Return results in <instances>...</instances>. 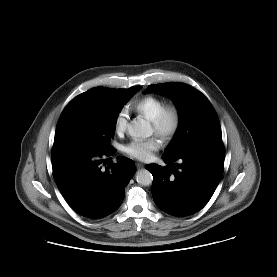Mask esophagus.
Here are the masks:
<instances>
[{"mask_svg": "<svg viewBox=\"0 0 277 277\" xmlns=\"http://www.w3.org/2000/svg\"><path fill=\"white\" fill-rule=\"evenodd\" d=\"M136 166H137V168H139V169H140V168H144V164H142V163H137Z\"/></svg>", "mask_w": 277, "mask_h": 277, "instance_id": "1", "label": "esophagus"}]
</instances>
